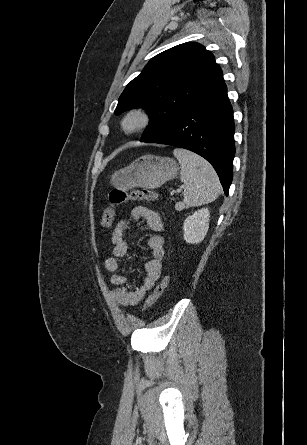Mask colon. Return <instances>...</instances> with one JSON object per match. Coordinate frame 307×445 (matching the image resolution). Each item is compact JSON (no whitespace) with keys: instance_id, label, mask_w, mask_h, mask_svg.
<instances>
[{"instance_id":"5ec220e1","label":"colon","mask_w":307,"mask_h":445,"mask_svg":"<svg viewBox=\"0 0 307 445\" xmlns=\"http://www.w3.org/2000/svg\"><path fill=\"white\" fill-rule=\"evenodd\" d=\"M156 198V193L151 190L134 189L125 191L119 188L112 189L109 194V206L105 209L101 216L102 227L107 228L112 225L116 215V208L124 202L128 200L155 201ZM168 282V276H164L161 282L155 287L151 295L146 299L143 310H148L152 307V305L160 298L167 288Z\"/></svg>"}]
</instances>
